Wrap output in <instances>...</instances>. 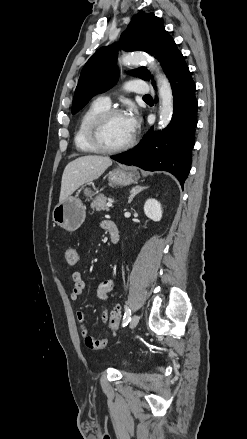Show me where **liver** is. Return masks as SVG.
<instances>
[{
	"instance_id": "liver-1",
	"label": "liver",
	"mask_w": 247,
	"mask_h": 439,
	"mask_svg": "<svg viewBox=\"0 0 247 439\" xmlns=\"http://www.w3.org/2000/svg\"><path fill=\"white\" fill-rule=\"evenodd\" d=\"M111 165L109 157L97 155L82 156L68 163L62 175L59 202H63L83 184L98 179Z\"/></svg>"
}]
</instances>
